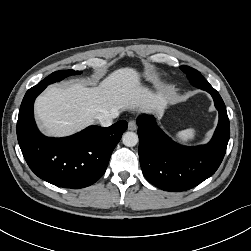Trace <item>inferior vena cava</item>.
<instances>
[{
  "instance_id": "obj_1",
  "label": "inferior vena cava",
  "mask_w": 251,
  "mask_h": 251,
  "mask_svg": "<svg viewBox=\"0 0 251 251\" xmlns=\"http://www.w3.org/2000/svg\"><path fill=\"white\" fill-rule=\"evenodd\" d=\"M117 116H118V112L115 110H112V111H106L104 113L98 114L97 119L99 123L101 124V126L108 127L112 125L113 123L112 119L116 118Z\"/></svg>"
}]
</instances>
